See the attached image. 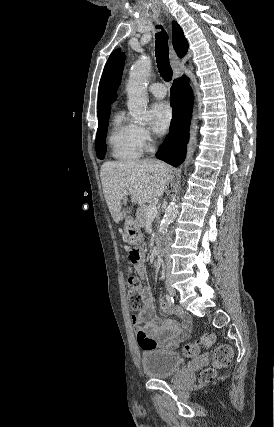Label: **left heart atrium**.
I'll return each mask as SVG.
<instances>
[{"label":"left heart atrium","mask_w":274,"mask_h":427,"mask_svg":"<svg viewBox=\"0 0 274 427\" xmlns=\"http://www.w3.org/2000/svg\"><path fill=\"white\" fill-rule=\"evenodd\" d=\"M151 128L156 134H163L168 129L172 119V109L167 102H157L152 106Z\"/></svg>","instance_id":"left-heart-atrium-1"}]
</instances>
